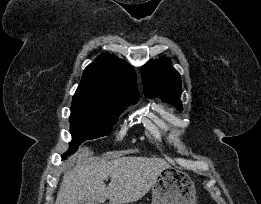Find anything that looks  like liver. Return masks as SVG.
Returning a JSON list of instances; mask_svg holds the SVG:
<instances>
[{"mask_svg": "<svg viewBox=\"0 0 261 204\" xmlns=\"http://www.w3.org/2000/svg\"><path fill=\"white\" fill-rule=\"evenodd\" d=\"M88 148L77 154L76 166L65 172L55 204H80L93 199L110 204H125L141 199L156 182L159 173L169 167L159 158L120 157L97 163ZM110 176L108 186L104 180Z\"/></svg>", "mask_w": 261, "mask_h": 204, "instance_id": "obj_1", "label": "liver"}]
</instances>
